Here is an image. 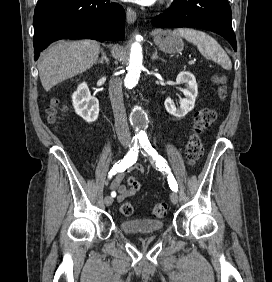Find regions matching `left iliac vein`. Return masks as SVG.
Wrapping results in <instances>:
<instances>
[{"mask_svg": "<svg viewBox=\"0 0 272 282\" xmlns=\"http://www.w3.org/2000/svg\"><path fill=\"white\" fill-rule=\"evenodd\" d=\"M170 200L173 204H177L178 201H179V197H178V194L176 192H172L170 194Z\"/></svg>", "mask_w": 272, "mask_h": 282, "instance_id": "1", "label": "left iliac vein"}]
</instances>
